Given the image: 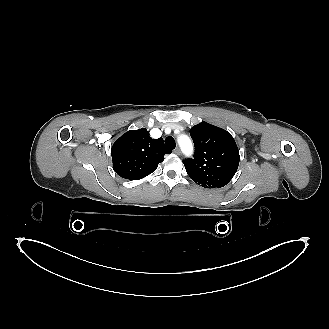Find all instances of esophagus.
I'll return each mask as SVG.
<instances>
[{
    "instance_id": "esophagus-1",
    "label": "esophagus",
    "mask_w": 329,
    "mask_h": 329,
    "mask_svg": "<svg viewBox=\"0 0 329 329\" xmlns=\"http://www.w3.org/2000/svg\"><path fill=\"white\" fill-rule=\"evenodd\" d=\"M173 152L176 154V155H180V149L177 147L173 150Z\"/></svg>"
}]
</instances>
